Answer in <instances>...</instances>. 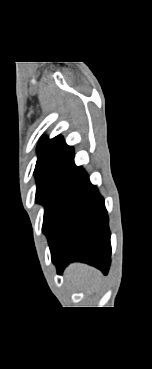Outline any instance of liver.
<instances>
[{
	"label": "liver",
	"mask_w": 152,
	"mask_h": 369,
	"mask_svg": "<svg viewBox=\"0 0 152 369\" xmlns=\"http://www.w3.org/2000/svg\"><path fill=\"white\" fill-rule=\"evenodd\" d=\"M65 276L73 279L84 290L94 289L101 277L96 269L83 264L70 265L65 272Z\"/></svg>",
	"instance_id": "1"
}]
</instances>
